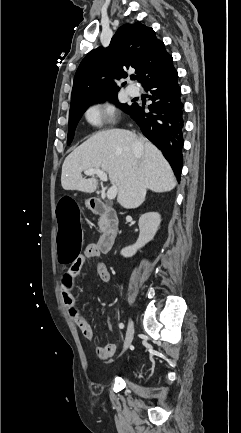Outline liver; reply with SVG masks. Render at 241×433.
Returning <instances> with one entry per match:
<instances>
[{"mask_svg":"<svg viewBox=\"0 0 241 433\" xmlns=\"http://www.w3.org/2000/svg\"><path fill=\"white\" fill-rule=\"evenodd\" d=\"M135 133L123 129L100 131L70 153L63 165L61 185L64 190L93 193L98 186L95 178L85 179L82 171L98 168L108 173L117 186V201L127 209L139 207L147 190L168 192L176 186L174 173L162 153L148 140L135 154Z\"/></svg>","mask_w":241,"mask_h":433,"instance_id":"1","label":"liver"}]
</instances>
